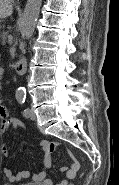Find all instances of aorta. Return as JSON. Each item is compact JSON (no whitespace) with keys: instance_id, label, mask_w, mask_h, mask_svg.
<instances>
[{"instance_id":"1","label":"aorta","mask_w":119,"mask_h":185,"mask_svg":"<svg viewBox=\"0 0 119 185\" xmlns=\"http://www.w3.org/2000/svg\"><path fill=\"white\" fill-rule=\"evenodd\" d=\"M42 0H27L24 14L21 21V33L23 37L29 40L35 30L36 22L39 17ZM17 93L25 95L24 87H19Z\"/></svg>"}]
</instances>
